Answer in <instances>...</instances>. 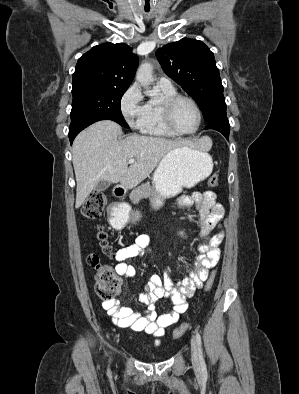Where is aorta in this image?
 <instances>
[{
  "instance_id": "762f6f07",
  "label": "aorta",
  "mask_w": 299,
  "mask_h": 394,
  "mask_svg": "<svg viewBox=\"0 0 299 394\" xmlns=\"http://www.w3.org/2000/svg\"><path fill=\"white\" fill-rule=\"evenodd\" d=\"M153 67L150 63H143L137 70L136 79L145 89V94L147 96H155V92L150 90V85L153 83L154 79L152 76Z\"/></svg>"
}]
</instances>
